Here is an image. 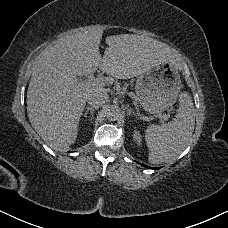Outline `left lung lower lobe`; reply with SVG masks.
<instances>
[{
    "mask_svg": "<svg viewBox=\"0 0 228 228\" xmlns=\"http://www.w3.org/2000/svg\"><path fill=\"white\" fill-rule=\"evenodd\" d=\"M143 166H145V165H143ZM145 167H147V168H151V167H148V166H145ZM153 169H158V168H153Z\"/></svg>",
    "mask_w": 228,
    "mask_h": 228,
    "instance_id": "obj_1",
    "label": "left lung lower lobe"
}]
</instances>
